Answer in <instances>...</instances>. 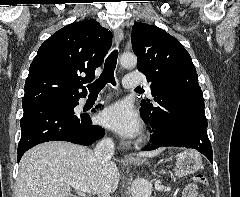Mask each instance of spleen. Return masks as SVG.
Here are the masks:
<instances>
[{
    "mask_svg": "<svg viewBox=\"0 0 240 197\" xmlns=\"http://www.w3.org/2000/svg\"><path fill=\"white\" fill-rule=\"evenodd\" d=\"M149 195V189L145 191V196L147 197Z\"/></svg>",
    "mask_w": 240,
    "mask_h": 197,
    "instance_id": "3e777b00",
    "label": "spleen"
}]
</instances>
